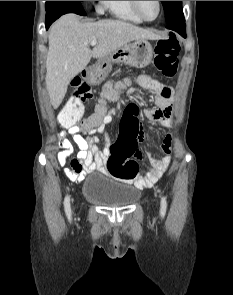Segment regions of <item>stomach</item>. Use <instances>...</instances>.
Segmentation results:
<instances>
[{
  "instance_id": "obj_1",
  "label": "stomach",
  "mask_w": 233,
  "mask_h": 295,
  "mask_svg": "<svg viewBox=\"0 0 233 295\" xmlns=\"http://www.w3.org/2000/svg\"><path fill=\"white\" fill-rule=\"evenodd\" d=\"M154 49L148 39H136L122 46L109 57L104 58L91 71L87 80L93 84L101 83L111 70V63H124L136 68H144L153 58Z\"/></svg>"
}]
</instances>
